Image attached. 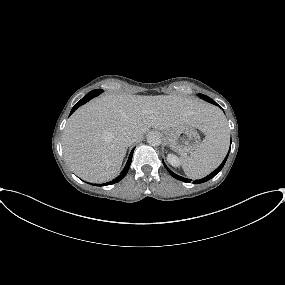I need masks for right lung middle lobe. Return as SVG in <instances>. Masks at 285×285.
Masks as SVG:
<instances>
[{"label":"right lung middle lobe","instance_id":"dd1d6c3e","mask_svg":"<svg viewBox=\"0 0 285 285\" xmlns=\"http://www.w3.org/2000/svg\"><path fill=\"white\" fill-rule=\"evenodd\" d=\"M92 92H99V94L101 93V92H103V90L102 89H98V90H93Z\"/></svg>","mask_w":285,"mask_h":285}]
</instances>
